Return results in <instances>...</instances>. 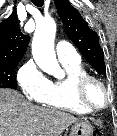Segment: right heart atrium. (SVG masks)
I'll return each instance as SVG.
<instances>
[{"label": "right heart atrium", "mask_w": 117, "mask_h": 136, "mask_svg": "<svg viewBox=\"0 0 117 136\" xmlns=\"http://www.w3.org/2000/svg\"><path fill=\"white\" fill-rule=\"evenodd\" d=\"M17 82L27 99L37 103H44L50 81L32 60L26 62L19 69Z\"/></svg>", "instance_id": "obj_1"}]
</instances>
